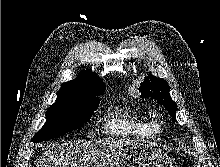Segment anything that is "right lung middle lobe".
Wrapping results in <instances>:
<instances>
[{
  "instance_id": "obj_1",
  "label": "right lung middle lobe",
  "mask_w": 220,
  "mask_h": 167,
  "mask_svg": "<svg viewBox=\"0 0 220 167\" xmlns=\"http://www.w3.org/2000/svg\"><path fill=\"white\" fill-rule=\"evenodd\" d=\"M99 100L96 97L71 98L56 101L48 108L47 120L42 129L34 135V143L58 137L78 129L87 123L96 110Z\"/></svg>"
}]
</instances>
